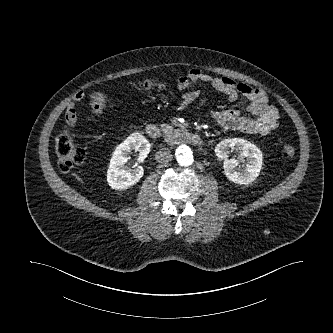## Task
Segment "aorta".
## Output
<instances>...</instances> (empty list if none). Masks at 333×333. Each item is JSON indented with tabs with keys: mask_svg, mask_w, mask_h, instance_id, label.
<instances>
[{
	"mask_svg": "<svg viewBox=\"0 0 333 333\" xmlns=\"http://www.w3.org/2000/svg\"><path fill=\"white\" fill-rule=\"evenodd\" d=\"M176 158L180 165L189 166L193 163L192 150L186 145H180L176 149Z\"/></svg>",
	"mask_w": 333,
	"mask_h": 333,
	"instance_id": "1",
	"label": "aorta"
}]
</instances>
